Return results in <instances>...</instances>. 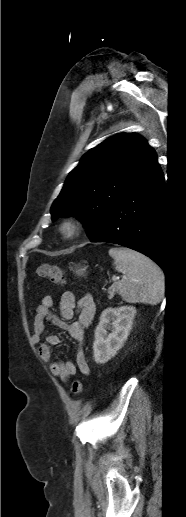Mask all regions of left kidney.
Masks as SVG:
<instances>
[{
  "mask_svg": "<svg viewBox=\"0 0 186 517\" xmlns=\"http://www.w3.org/2000/svg\"><path fill=\"white\" fill-rule=\"evenodd\" d=\"M135 315L136 308L127 305L118 308L109 307L102 312L93 343V357L97 364L106 363L122 348L132 328ZM108 330L111 332L108 333Z\"/></svg>",
  "mask_w": 186,
  "mask_h": 517,
  "instance_id": "1",
  "label": "left kidney"
}]
</instances>
